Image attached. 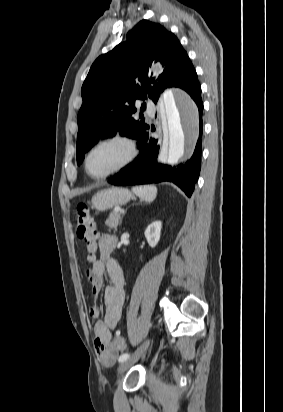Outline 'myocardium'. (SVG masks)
Masks as SVG:
<instances>
[{"mask_svg": "<svg viewBox=\"0 0 283 412\" xmlns=\"http://www.w3.org/2000/svg\"><path fill=\"white\" fill-rule=\"evenodd\" d=\"M110 142H122L124 143L127 147H128V155L125 158V160L123 162H121L118 166H116L115 168L109 170L106 173L100 174V175H96L93 174L90 170H89V166H88V161L89 158L92 154V152L98 148L99 146L106 144V143H110ZM139 153V146L137 141L131 137L130 135L124 134V133H114L111 135H108L106 137H103L101 139H99L97 142H95L86 152L85 157H84V169L86 171V173L93 179L96 180H100V179H105L121 170H123L124 168H126L127 166H129L138 156Z\"/></svg>", "mask_w": 283, "mask_h": 412, "instance_id": "1", "label": "myocardium"}]
</instances>
